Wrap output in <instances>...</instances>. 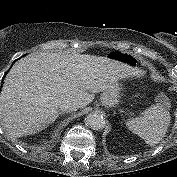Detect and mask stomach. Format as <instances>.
Wrapping results in <instances>:
<instances>
[{
	"instance_id": "stomach-1",
	"label": "stomach",
	"mask_w": 177,
	"mask_h": 177,
	"mask_svg": "<svg viewBox=\"0 0 177 177\" xmlns=\"http://www.w3.org/2000/svg\"><path fill=\"white\" fill-rule=\"evenodd\" d=\"M112 59H116L123 63L129 64L131 66H136L139 62V59L136 55L123 52V51H115L110 54ZM121 98V86L119 83H115L108 89L104 90L101 94V103L106 107H114L119 103V99Z\"/></svg>"
}]
</instances>
